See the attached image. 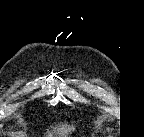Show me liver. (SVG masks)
I'll list each match as a JSON object with an SVG mask.
<instances>
[{"label": "liver", "mask_w": 144, "mask_h": 137, "mask_svg": "<svg viewBox=\"0 0 144 137\" xmlns=\"http://www.w3.org/2000/svg\"><path fill=\"white\" fill-rule=\"evenodd\" d=\"M75 130V127L67 124H62L54 129L53 132L48 133V137H67L69 133Z\"/></svg>", "instance_id": "obj_1"}]
</instances>
